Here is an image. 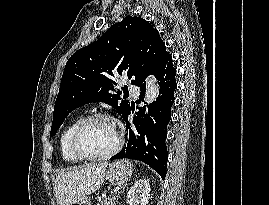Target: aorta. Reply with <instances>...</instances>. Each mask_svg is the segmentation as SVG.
Instances as JSON below:
<instances>
[{"label":"aorta","instance_id":"762f6f07","mask_svg":"<svg viewBox=\"0 0 269 205\" xmlns=\"http://www.w3.org/2000/svg\"><path fill=\"white\" fill-rule=\"evenodd\" d=\"M158 95H159L158 82L153 75H150L146 79V91L144 99L147 103H152L156 101Z\"/></svg>","mask_w":269,"mask_h":205}]
</instances>
